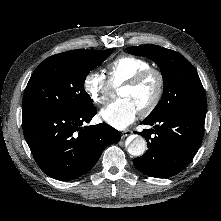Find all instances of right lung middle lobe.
I'll use <instances>...</instances> for the list:
<instances>
[{
    "mask_svg": "<svg viewBox=\"0 0 221 221\" xmlns=\"http://www.w3.org/2000/svg\"><path fill=\"white\" fill-rule=\"evenodd\" d=\"M112 50L60 53L45 59L32 74L23 96V111L82 113L95 108L84 90L86 76Z\"/></svg>",
    "mask_w": 221,
    "mask_h": 221,
    "instance_id": "1",
    "label": "right lung middle lobe"
}]
</instances>
